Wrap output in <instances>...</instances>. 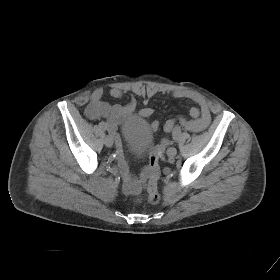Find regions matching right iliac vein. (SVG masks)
Segmentation results:
<instances>
[{
  "mask_svg": "<svg viewBox=\"0 0 280 280\" xmlns=\"http://www.w3.org/2000/svg\"><path fill=\"white\" fill-rule=\"evenodd\" d=\"M104 143L107 147H112L113 143H114L113 137L112 136H106L105 140H104Z\"/></svg>",
  "mask_w": 280,
  "mask_h": 280,
  "instance_id": "obj_1",
  "label": "right iliac vein"
}]
</instances>
